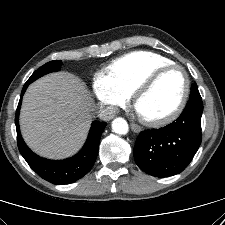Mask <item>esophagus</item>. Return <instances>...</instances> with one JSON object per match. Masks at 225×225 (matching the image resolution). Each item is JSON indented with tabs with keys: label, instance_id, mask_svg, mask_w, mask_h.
I'll return each mask as SVG.
<instances>
[{
	"label": "esophagus",
	"instance_id": "esophagus-1",
	"mask_svg": "<svg viewBox=\"0 0 225 225\" xmlns=\"http://www.w3.org/2000/svg\"><path fill=\"white\" fill-rule=\"evenodd\" d=\"M131 129L135 133H139L141 131V127L134 123H131Z\"/></svg>",
	"mask_w": 225,
	"mask_h": 225
}]
</instances>
